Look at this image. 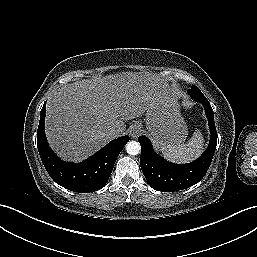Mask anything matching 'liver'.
Listing matches in <instances>:
<instances>
[{
    "mask_svg": "<svg viewBox=\"0 0 257 257\" xmlns=\"http://www.w3.org/2000/svg\"><path fill=\"white\" fill-rule=\"evenodd\" d=\"M174 101L167 87L148 73L122 72L62 86L47 103L49 145L64 160L80 162L126 130L157 101Z\"/></svg>",
    "mask_w": 257,
    "mask_h": 257,
    "instance_id": "liver-1",
    "label": "liver"
}]
</instances>
